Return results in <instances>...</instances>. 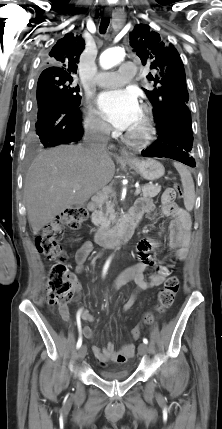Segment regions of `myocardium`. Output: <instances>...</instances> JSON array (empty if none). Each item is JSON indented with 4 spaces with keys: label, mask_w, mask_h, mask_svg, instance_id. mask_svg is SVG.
Instances as JSON below:
<instances>
[{
    "label": "myocardium",
    "mask_w": 222,
    "mask_h": 429,
    "mask_svg": "<svg viewBox=\"0 0 222 429\" xmlns=\"http://www.w3.org/2000/svg\"><path fill=\"white\" fill-rule=\"evenodd\" d=\"M155 134L153 119L150 109L141 107V123L136 129H130L126 133V140L132 146L141 147L150 143Z\"/></svg>",
    "instance_id": "f54148a6"
}]
</instances>
